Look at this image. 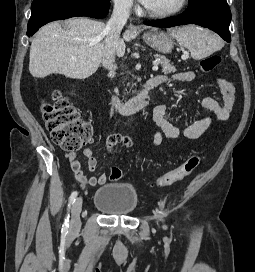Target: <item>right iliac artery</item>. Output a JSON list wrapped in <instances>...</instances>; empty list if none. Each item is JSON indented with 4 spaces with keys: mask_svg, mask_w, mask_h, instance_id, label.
<instances>
[{
    "mask_svg": "<svg viewBox=\"0 0 255 272\" xmlns=\"http://www.w3.org/2000/svg\"><path fill=\"white\" fill-rule=\"evenodd\" d=\"M77 195H78L77 191H74V192L71 194V196H70V198H69V203H68V208H69V209H70L71 206L74 204V202H75V200H76V198H77ZM68 228H69V214H68L67 217L65 218V221H64V223H63V225H62V231H63V232H68Z\"/></svg>",
    "mask_w": 255,
    "mask_h": 272,
    "instance_id": "right-iliac-artery-1",
    "label": "right iliac artery"
}]
</instances>
